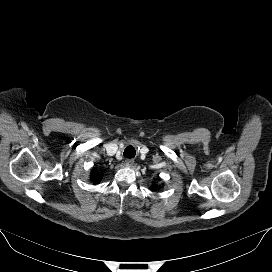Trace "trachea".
<instances>
[{
	"instance_id": "3493384b",
	"label": "trachea",
	"mask_w": 272,
	"mask_h": 272,
	"mask_svg": "<svg viewBox=\"0 0 272 272\" xmlns=\"http://www.w3.org/2000/svg\"><path fill=\"white\" fill-rule=\"evenodd\" d=\"M135 154H136V151H135L134 147L131 146V145H130V146H127V147L125 148V150H124V156H125L126 158L131 159V158L135 157Z\"/></svg>"
}]
</instances>
